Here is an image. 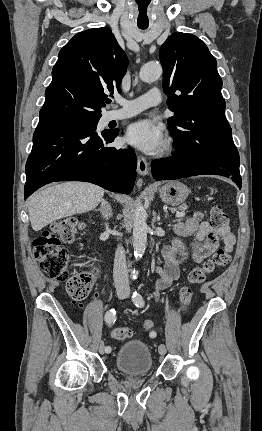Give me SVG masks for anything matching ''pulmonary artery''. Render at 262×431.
Masks as SVG:
<instances>
[{
	"mask_svg": "<svg viewBox=\"0 0 262 431\" xmlns=\"http://www.w3.org/2000/svg\"><path fill=\"white\" fill-rule=\"evenodd\" d=\"M161 101L162 96L157 87H153L147 93L131 100L119 98L117 102L123 105V108L111 111L108 115V120L117 121L131 117L149 107L159 105Z\"/></svg>",
	"mask_w": 262,
	"mask_h": 431,
	"instance_id": "pulmonary-artery-1",
	"label": "pulmonary artery"
}]
</instances>
